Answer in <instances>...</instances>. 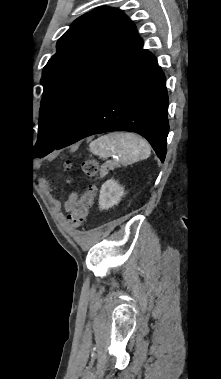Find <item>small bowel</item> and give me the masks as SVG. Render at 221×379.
Listing matches in <instances>:
<instances>
[{"label":"small bowel","instance_id":"1","mask_svg":"<svg viewBox=\"0 0 221 379\" xmlns=\"http://www.w3.org/2000/svg\"><path fill=\"white\" fill-rule=\"evenodd\" d=\"M77 201H78L77 194L75 192L71 193L64 204L65 210L67 212H71L75 204L77 203Z\"/></svg>","mask_w":221,"mask_h":379}]
</instances>
